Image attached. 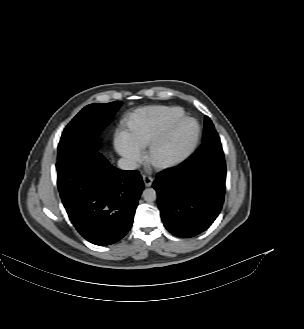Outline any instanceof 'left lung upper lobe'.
I'll use <instances>...</instances> for the list:
<instances>
[{"label":"left lung upper lobe","instance_id":"1","mask_svg":"<svg viewBox=\"0 0 304 329\" xmlns=\"http://www.w3.org/2000/svg\"><path fill=\"white\" fill-rule=\"evenodd\" d=\"M215 132V128L211 120L208 116L205 117L204 122V134H203V140L207 138L211 133Z\"/></svg>","mask_w":304,"mask_h":329}]
</instances>
